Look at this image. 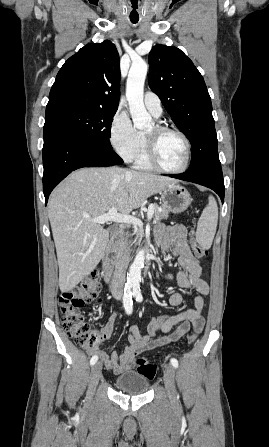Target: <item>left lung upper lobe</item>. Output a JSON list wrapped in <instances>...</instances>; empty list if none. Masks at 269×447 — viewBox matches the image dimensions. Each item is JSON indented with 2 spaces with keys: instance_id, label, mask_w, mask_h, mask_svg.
I'll return each instance as SVG.
<instances>
[{
  "instance_id": "1",
  "label": "left lung upper lobe",
  "mask_w": 269,
  "mask_h": 447,
  "mask_svg": "<svg viewBox=\"0 0 269 447\" xmlns=\"http://www.w3.org/2000/svg\"><path fill=\"white\" fill-rule=\"evenodd\" d=\"M149 64L151 90L192 146L191 165L185 173L198 175L220 169L211 99L200 72L173 46H154Z\"/></svg>"
}]
</instances>
